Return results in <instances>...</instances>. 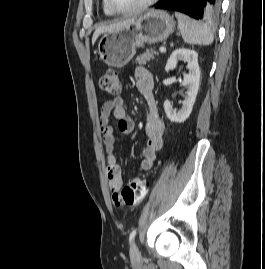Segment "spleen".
Listing matches in <instances>:
<instances>
[{
	"mask_svg": "<svg viewBox=\"0 0 265 269\" xmlns=\"http://www.w3.org/2000/svg\"><path fill=\"white\" fill-rule=\"evenodd\" d=\"M175 16L178 20V29L186 43L206 46L213 42V34L206 24L180 12H175Z\"/></svg>",
	"mask_w": 265,
	"mask_h": 269,
	"instance_id": "1",
	"label": "spleen"
}]
</instances>
